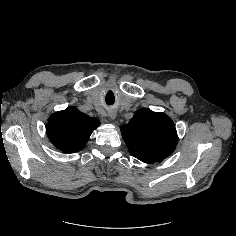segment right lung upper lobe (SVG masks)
Here are the masks:
<instances>
[{
  "label": "right lung upper lobe",
  "mask_w": 236,
  "mask_h": 236,
  "mask_svg": "<svg viewBox=\"0 0 236 236\" xmlns=\"http://www.w3.org/2000/svg\"><path fill=\"white\" fill-rule=\"evenodd\" d=\"M100 121L75 107L52 114L48 120L47 136L64 153L82 150Z\"/></svg>",
  "instance_id": "cb5924a9"
}]
</instances>
